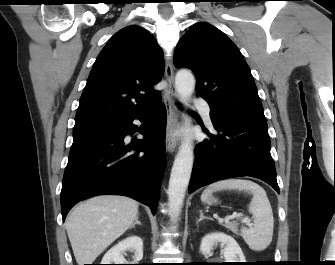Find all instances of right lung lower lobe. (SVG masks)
Masks as SVG:
<instances>
[{
  "mask_svg": "<svg viewBox=\"0 0 335 265\" xmlns=\"http://www.w3.org/2000/svg\"><path fill=\"white\" fill-rule=\"evenodd\" d=\"M134 119L145 122V138L127 142L125 136L139 129ZM166 120L160 100L145 112L73 135L60 195L63 221L77 202L101 194L132 197L155 214L165 168Z\"/></svg>",
  "mask_w": 335,
  "mask_h": 265,
  "instance_id": "right-lung-lower-lobe-1",
  "label": "right lung lower lobe"
}]
</instances>
